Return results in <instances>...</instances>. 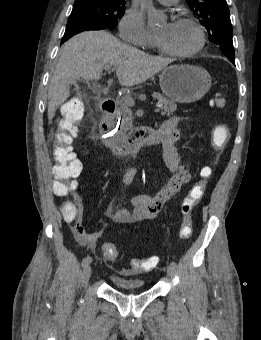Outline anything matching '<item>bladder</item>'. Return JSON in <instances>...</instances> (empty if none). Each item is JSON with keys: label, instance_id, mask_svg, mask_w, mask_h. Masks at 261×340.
Wrapping results in <instances>:
<instances>
[{"label": "bladder", "instance_id": "obj_1", "mask_svg": "<svg viewBox=\"0 0 261 340\" xmlns=\"http://www.w3.org/2000/svg\"><path fill=\"white\" fill-rule=\"evenodd\" d=\"M111 281L116 288L123 291H137L145 289V283L140 278H126L113 275L111 276Z\"/></svg>", "mask_w": 261, "mask_h": 340}]
</instances>
